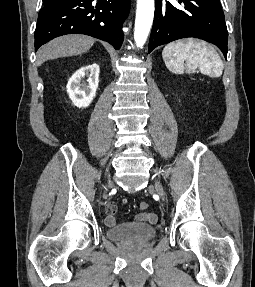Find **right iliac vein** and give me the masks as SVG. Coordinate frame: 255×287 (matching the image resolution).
<instances>
[{"instance_id":"63e3f726","label":"right iliac vein","mask_w":255,"mask_h":287,"mask_svg":"<svg viewBox=\"0 0 255 287\" xmlns=\"http://www.w3.org/2000/svg\"><path fill=\"white\" fill-rule=\"evenodd\" d=\"M111 186V184L110 183H108V185H107V187L105 188L106 189V191H108V188Z\"/></svg>"}]
</instances>
